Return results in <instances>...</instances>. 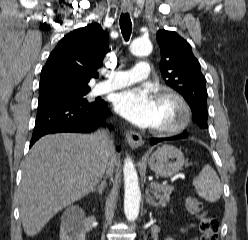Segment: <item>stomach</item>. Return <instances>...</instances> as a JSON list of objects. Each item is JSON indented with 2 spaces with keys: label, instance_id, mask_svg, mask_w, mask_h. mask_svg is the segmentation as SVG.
Segmentation results:
<instances>
[{
  "label": "stomach",
  "instance_id": "1",
  "mask_svg": "<svg viewBox=\"0 0 248 240\" xmlns=\"http://www.w3.org/2000/svg\"><path fill=\"white\" fill-rule=\"evenodd\" d=\"M152 171L162 177H170L179 172L184 163L182 151L175 146L165 144L146 156Z\"/></svg>",
  "mask_w": 248,
  "mask_h": 240
}]
</instances>
